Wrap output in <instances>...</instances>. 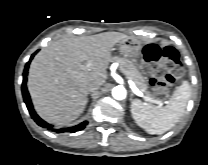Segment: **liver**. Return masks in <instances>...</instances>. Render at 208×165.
Here are the masks:
<instances>
[{"label":"liver","instance_id":"liver-1","mask_svg":"<svg viewBox=\"0 0 208 165\" xmlns=\"http://www.w3.org/2000/svg\"><path fill=\"white\" fill-rule=\"evenodd\" d=\"M127 39L119 32H105L60 39L43 48L31 62L27 83L39 116L59 125L79 117L88 87L106 82L112 47Z\"/></svg>","mask_w":208,"mask_h":165}]
</instances>
